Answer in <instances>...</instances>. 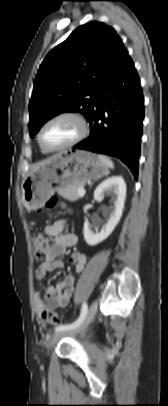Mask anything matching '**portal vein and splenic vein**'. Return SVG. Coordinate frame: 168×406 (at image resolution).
Returning <instances> with one entry per match:
<instances>
[{
    "mask_svg": "<svg viewBox=\"0 0 168 406\" xmlns=\"http://www.w3.org/2000/svg\"><path fill=\"white\" fill-rule=\"evenodd\" d=\"M77 193H78L79 196L82 197V196H84V194H85V189H84V188H81V189L78 190Z\"/></svg>",
    "mask_w": 168,
    "mask_h": 406,
    "instance_id": "obj_1",
    "label": "portal vein and splenic vein"
}]
</instances>
